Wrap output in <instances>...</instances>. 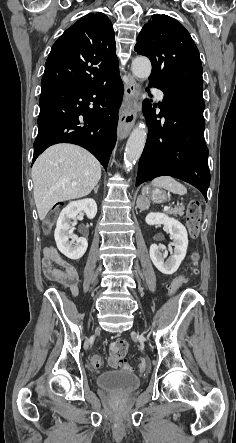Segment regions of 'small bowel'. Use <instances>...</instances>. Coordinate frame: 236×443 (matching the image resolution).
<instances>
[{
    "label": "small bowel",
    "mask_w": 236,
    "mask_h": 443,
    "mask_svg": "<svg viewBox=\"0 0 236 443\" xmlns=\"http://www.w3.org/2000/svg\"><path fill=\"white\" fill-rule=\"evenodd\" d=\"M43 272L49 281L75 293L78 280L77 270L54 247L44 249Z\"/></svg>",
    "instance_id": "c3829d8e"
}]
</instances>
